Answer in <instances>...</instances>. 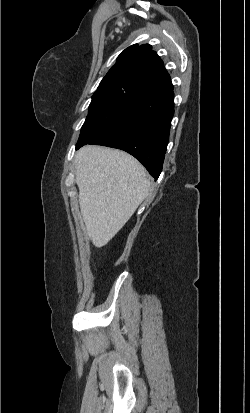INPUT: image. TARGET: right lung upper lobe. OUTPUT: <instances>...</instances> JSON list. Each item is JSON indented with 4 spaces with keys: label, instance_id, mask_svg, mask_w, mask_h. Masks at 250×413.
<instances>
[{
    "label": "right lung upper lobe",
    "instance_id": "cb5924a9",
    "mask_svg": "<svg viewBox=\"0 0 250 413\" xmlns=\"http://www.w3.org/2000/svg\"><path fill=\"white\" fill-rule=\"evenodd\" d=\"M99 88L130 90L143 96L173 89V85L162 60L152 51V47L149 44H135L118 56Z\"/></svg>",
    "mask_w": 250,
    "mask_h": 413
}]
</instances>
